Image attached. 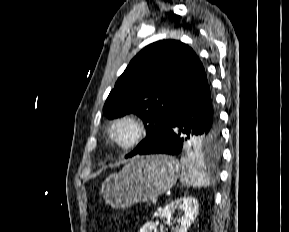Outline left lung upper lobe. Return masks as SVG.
Returning a JSON list of instances; mask_svg holds the SVG:
<instances>
[{"instance_id":"5c2ea615","label":"left lung upper lobe","mask_w":289,"mask_h":232,"mask_svg":"<svg viewBox=\"0 0 289 232\" xmlns=\"http://www.w3.org/2000/svg\"><path fill=\"white\" fill-rule=\"evenodd\" d=\"M203 70L193 49L176 40L152 43L131 60L103 107L109 119L135 113L145 124L146 138L126 157L147 147L165 130L181 97ZM219 147L220 131L212 142L193 144L194 150L210 153Z\"/></svg>"}]
</instances>
